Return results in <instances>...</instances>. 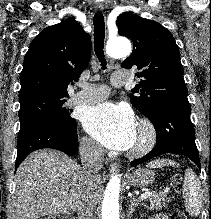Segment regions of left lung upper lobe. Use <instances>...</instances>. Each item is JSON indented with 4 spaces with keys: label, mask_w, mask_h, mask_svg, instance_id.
<instances>
[{
    "label": "left lung upper lobe",
    "mask_w": 211,
    "mask_h": 219,
    "mask_svg": "<svg viewBox=\"0 0 211 219\" xmlns=\"http://www.w3.org/2000/svg\"><path fill=\"white\" fill-rule=\"evenodd\" d=\"M120 35L134 44L132 54L122 62L123 68L137 66L141 78L131 95L132 105L151 118L157 109L169 102H187L178 46L172 34L161 24L125 12L117 18Z\"/></svg>",
    "instance_id": "left-lung-upper-lobe-1"
}]
</instances>
